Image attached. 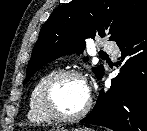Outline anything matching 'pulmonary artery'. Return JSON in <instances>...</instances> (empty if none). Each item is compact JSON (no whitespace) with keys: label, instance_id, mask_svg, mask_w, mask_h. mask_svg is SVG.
<instances>
[{"label":"pulmonary artery","instance_id":"e3ab8cb5","mask_svg":"<svg viewBox=\"0 0 147 131\" xmlns=\"http://www.w3.org/2000/svg\"><path fill=\"white\" fill-rule=\"evenodd\" d=\"M102 50L111 54H115L117 51V46L113 43H104L102 45Z\"/></svg>","mask_w":147,"mask_h":131}]
</instances>
